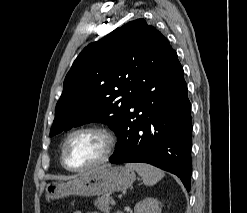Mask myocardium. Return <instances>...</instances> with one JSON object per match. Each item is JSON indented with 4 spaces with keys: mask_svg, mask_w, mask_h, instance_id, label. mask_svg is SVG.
I'll list each match as a JSON object with an SVG mask.
<instances>
[{
    "mask_svg": "<svg viewBox=\"0 0 247 213\" xmlns=\"http://www.w3.org/2000/svg\"><path fill=\"white\" fill-rule=\"evenodd\" d=\"M83 132H93V133L100 134L105 140L106 147H105L104 153L101 156V158L99 160H97L96 162H94L93 164L85 166V167L74 168V167H71L67 163L66 147H67L69 140L74 135H76L78 133H83ZM115 148H116V137H115L114 133L111 130H109L108 128L103 127V126L79 127V128L72 130L71 132H69L62 143L61 156H60L61 164L63 165V167L66 170H68L70 172L82 173V172L91 171V170L99 168L100 166L107 163L110 160V158L112 157V155L115 151Z\"/></svg>",
    "mask_w": 247,
    "mask_h": 213,
    "instance_id": "1",
    "label": "myocardium"
}]
</instances>
